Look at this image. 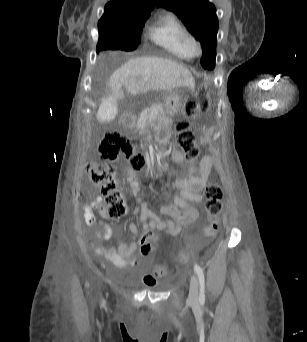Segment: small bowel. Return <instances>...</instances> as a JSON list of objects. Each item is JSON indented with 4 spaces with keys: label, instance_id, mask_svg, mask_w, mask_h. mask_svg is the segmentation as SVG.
Segmentation results:
<instances>
[{
    "label": "small bowel",
    "instance_id": "small-bowel-1",
    "mask_svg": "<svg viewBox=\"0 0 307 342\" xmlns=\"http://www.w3.org/2000/svg\"><path fill=\"white\" fill-rule=\"evenodd\" d=\"M209 138L208 131L205 126L201 128L200 142L206 144ZM171 160L174 163H182L184 160L183 154L179 150H173ZM214 164V159L210 155L204 156L198 165L189 164V175L185 178H177L174 180V185L178 189V194L174 197L172 204H163L160 212L164 216H168L170 220H163L154 214L146 205L145 202L139 200L138 220L142 223L143 233L145 229H155L156 225H161L163 232H180L183 226L189 225L195 221L199 215V205L203 201L202 190L206 186L211 169ZM127 182L132 189L133 194L139 192V181L134 170H127ZM99 209L105 215V208L101 205V197H96L84 207L85 222L90 227L101 226L102 230L96 231V237L99 239L108 240L112 237V230L109 225L101 223L97 220L94 210ZM130 231L133 234V239L119 245H112L108 248L92 244L95 253L104 256L119 268H124L133 265L134 261L130 259L132 253L137 249L136 241L137 228L131 223ZM147 255L149 253H143Z\"/></svg>",
    "mask_w": 307,
    "mask_h": 342
}]
</instances>
